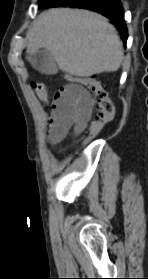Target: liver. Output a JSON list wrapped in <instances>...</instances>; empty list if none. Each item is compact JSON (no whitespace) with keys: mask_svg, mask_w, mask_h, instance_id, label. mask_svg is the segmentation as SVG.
<instances>
[{"mask_svg":"<svg viewBox=\"0 0 148 279\" xmlns=\"http://www.w3.org/2000/svg\"><path fill=\"white\" fill-rule=\"evenodd\" d=\"M27 39L28 54L44 49L63 72L78 77L117 71L123 59L115 28L87 10L50 9L34 22Z\"/></svg>","mask_w":148,"mask_h":279,"instance_id":"1","label":"liver"}]
</instances>
